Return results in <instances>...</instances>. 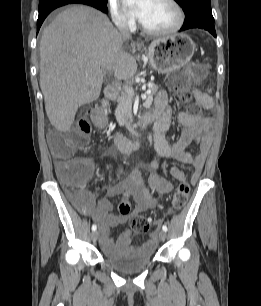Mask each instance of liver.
I'll list each match as a JSON object with an SVG mask.
<instances>
[{"label":"liver","instance_id":"obj_1","mask_svg":"<svg viewBox=\"0 0 261 306\" xmlns=\"http://www.w3.org/2000/svg\"><path fill=\"white\" fill-rule=\"evenodd\" d=\"M108 17L87 6H71L44 29L40 41V87L50 123L66 132L78 108L98 99L107 71L129 80L135 58Z\"/></svg>","mask_w":261,"mask_h":306}]
</instances>
